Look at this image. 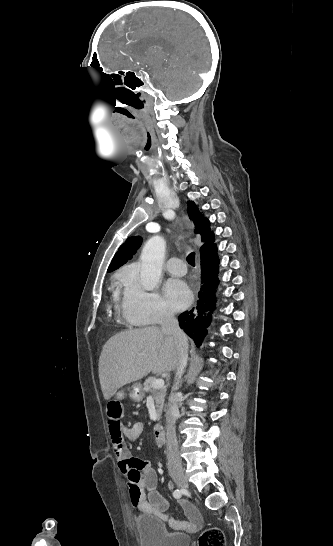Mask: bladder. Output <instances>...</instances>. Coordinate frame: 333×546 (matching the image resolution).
I'll use <instances>...</instances> for the list:
<instances>
[{
	"label": "bladder",
	"instance_id": "bladder-1",
	"mask_svg": "<svg viewBox=\"0 0 333 546\" xmlns=\"http://www.w3.org/2000/svg\"><path fill=\"white\" fill-rule=\"evenodd\" d=\"M140 546H190V536L170 533L156 517L144 515L135 522Z\"/></svg>",
	"mask_w": 333,
	"mask_h": 546
}]
</instances>
